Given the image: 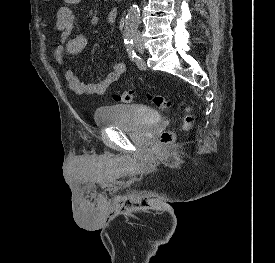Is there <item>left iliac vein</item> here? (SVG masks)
Segmentation results:
<instances>
[{
  "label": "left iliac vein",
  "instance_id": "1",
  "mask_svg": "<svg viewBox=\"0 0 275 263\" xmlns=\"http://www.w3.org/2000/svg\"><path fill=\"white\" fill-rule=\"evenodd\" d=\"M135 44L138 52L140 53L144 52V45L142 43L141 38L138 35L135 36Z\"/></svg>",
  "mask_w": 275,
  "mask_h": 263
}]
</instances>
